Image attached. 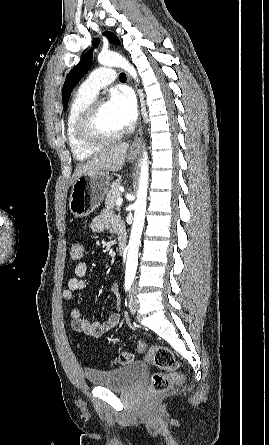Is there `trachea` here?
Masks as SVG:
<instances>
[{
    "label": "trachea",
    "mask_w": 269,
    "mask_h": 445,
    "mask_svg": "<svg viewBox=\"0 0 269 445\" xmlns=\"http://www.w3.org/2000/svg\"><path fill=\"white\" fill-rule=\"evenodd\" d=\"M126 79H127L126 74L125 73H120L119 80L120 81H125Z\"/></svg>",
    "instance_id": "trachea-1"
}]
</instances>
